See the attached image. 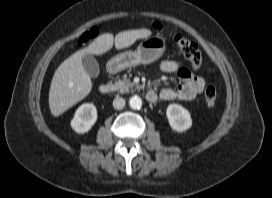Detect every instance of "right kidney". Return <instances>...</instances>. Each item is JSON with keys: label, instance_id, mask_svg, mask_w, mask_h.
Returning <instances> with one entry per match:
<instances>
[{"label": "right kidney", "instance_id": "ca27d5eb", "mask_svg": "<svg viewBox=\"0 0 272 198\" xmlns=\"http://www.w3.org/2000/svg\"><path fill=\"white\" fill-rule=\"evenodd\" d=\"M97 121V109L94 104H82L71 121L72 129L79 134L88 132Z\"/></svg>", "mask_w": 272, "mask_h": 198}]
</instances>
